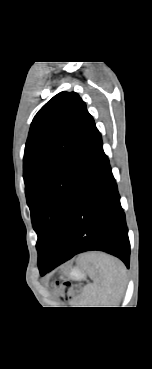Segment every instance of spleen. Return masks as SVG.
Returning <instances> with one entry per match:
<instances>
[{"instance_id": "spleen-1", "label": "spleen", "mask_w": 152, "mask_h": 369, "mask_svg": "<svg viewBox=\"0 0 152 369\" xmlns=\"http://www.w3.org/2000/svg\"><path fill=\"white\" fill-rule=\"evenodd\" d=\"M85 266L94 282L83 288L78 305L115 307L125 290L124 265L107 254L91 253L87 256Z\"/></svg>"}]
</instances>
